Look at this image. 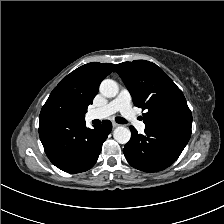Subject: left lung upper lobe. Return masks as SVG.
Wrapping results in <instances>:
<instances>
[{"instance_id": "5c2ea615", "label": "left lung upper lobe", "mask_w": 224, "mask_h": 224, "mask_svg": "<svg viewBox=\"0 0 224 224\" xmlns=\"http://www.w3.org/2000/svg\"><path fill=\"white\" fill-rule=\"evenodd\" d=\"M135 106L146 110L147 127L168 128L191 134L192 114L182 91L156 64L135 60L117 64Z\"/></svg>"}]
</instances>
